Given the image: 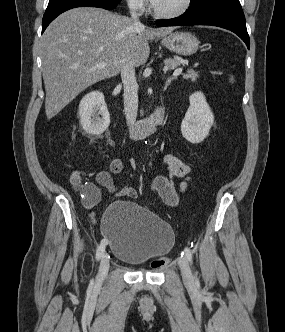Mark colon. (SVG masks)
Segmentation results:
<instances>
[{
    "label": "colon",
    "instance_id": "5ec220e1",
    "mask_svg": "<svg viewBox=\"0 0 285 332\" xmlns=\"http://www.w3.org/2000/svg\"><path fill=\"white\" fill-rule=\"evenodd\" d=\"M167 263H168L167 258H159V259L154 260L152 265H153V267L157 268V267H162Z\"/></svg>",
    "mask_w": 285,
    "mask_h": 332
}]
</instances>
